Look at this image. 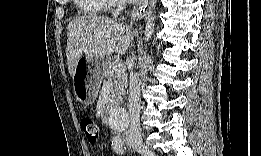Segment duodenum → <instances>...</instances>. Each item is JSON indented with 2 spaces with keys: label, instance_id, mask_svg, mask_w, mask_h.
Returning a JSON list of instances; mask_svg holds the SVG:
<instances>
[{
  "label": "duodenum",
  "instance_id": "obj_1",
  "mask_svg": "<svg viewBox=\"0 0 261 156\" xmlns=\"http://www.w3.org/2000/svg\"><path fill=\"white\" fill-rule=\"evenodd\" d=\"M107 102L114 104V105H120L121 104V100L118 96H111L108 98Z\"/></svg>",
  "mask_w": 261,
  "mask_h": 156
}]
</instances>
